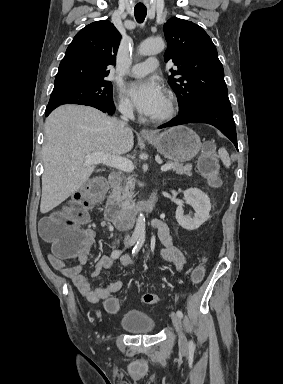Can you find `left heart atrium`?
<instances>
[{"instance_id":"obj_1","label":"left heart atrium","mask_w":283,"mask_h":384,"mask_svg":"<svg viewBox=\"0 0 283 384\" xmlns=\"http://www.w3.org/2000/svg\"><path fill=\"white\" fill-rule=\"evenodd\" d=\"M125 92L137 110L146 116L154 115L165 102L161 87L151 80L131 82Z\"/></svg>"}]
</instances>
